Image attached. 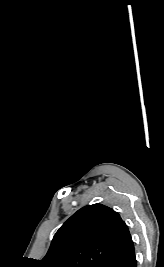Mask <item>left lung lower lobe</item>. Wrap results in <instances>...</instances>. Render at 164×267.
Wrapping results in <instances>:
<instances>
[{"instance_id":"0a47b994","label":"left lung lower lobe","mask_w":164,"mask_h":267,"mask_svg":"<svg viewBox=\"0 0 164 267\" xmlns=\"http://www.w3.org/2000/svg\"><path fill=\"white\" fill-rule=\"evenodd\" d=\"M101 267H137L134 244L128 230Z\"/></svg>"}]
</instances>
